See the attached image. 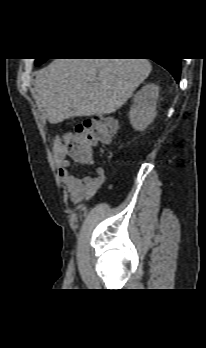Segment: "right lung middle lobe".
Masks as SVG:
<instances>
[{"label": "right lung middle lobe", "mask_w": 206, "mask_h": 348, "mask_svg": "<svg viewBox=\"0 0 206 348\" xmlns=\"http://www.w3.org/2000/svg\"><path fill=\"white\" fill-rule=\"evenodd\" d=\"M46 59H36L35 64L36 65H40L41 63H43Z\"/></svg>", "instance_id": "dd1d6c3e"}]
</instances>
